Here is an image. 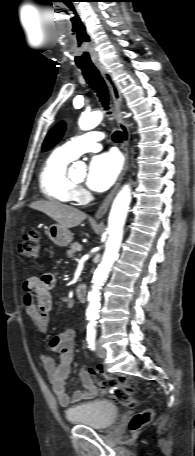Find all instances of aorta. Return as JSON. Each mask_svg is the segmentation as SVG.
<instances>
[{
    "instance_id": "aorta-1",
    "label": "aorta",
    "mask_w": 195,
    "mask_h": 456,
    "mask_svg": "<svg viewBox=\"0 0 195 456\" xmlns=\"http://www.w3.org/2000/svg\"><path fill=\"white\" fill-rule=\"evenodd\" d=\"M103 115L100 111H94L84 114L79 119V127L82 130H91L96 127L102 120ZM75 166H84L82 162L75 163ZM131 202V188L126 184L115 197L109 219H108V239L106 242L105 252L101 263L96 269L92 278V290L88 293L87 317L94 319L98 316L100 310V299L102 288L108 277L114 261L118 258V251L123 238V228L127 217V212Z\"/></svg>"
}]
</instances>
